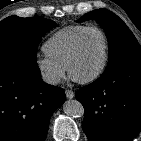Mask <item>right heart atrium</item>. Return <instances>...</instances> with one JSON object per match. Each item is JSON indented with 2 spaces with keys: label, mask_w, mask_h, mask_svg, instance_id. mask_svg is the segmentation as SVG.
I'll return each mask as SVG.
<instances>
[{
  "label": "right heart atrium",
  "mask_w": 141,
  "mask_h": 141,
  "mask_svg": "<svg viewBox=\"0 0 141 141\" xmlns=\"http://www.w3.org/2000/svg\"><path fill=\"white\" fill-rule=\"evenodd\" d=\"M35 63L41 78L49 85H57L65 76V67L47 55L37 57Z\"/></svg>",
  "instance_id": "obj_1"
}]
</instances>
